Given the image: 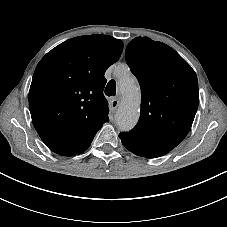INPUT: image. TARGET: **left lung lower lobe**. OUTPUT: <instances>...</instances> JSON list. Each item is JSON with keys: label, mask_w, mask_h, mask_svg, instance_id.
<instances>
[{"label": "left lung lower lobe", "mask_w": 227, "mask_h": 227, "mask_svg": "<svg viewBox=\"0 0 227 227\" xmlns=\"http://www.w3.org/2000/svg\"><path fill=\"white\" fill-rule=\"evenodd\" d=\"M122 144L129 150L131 151L132 153L138 155V156H144L146 158H156V157H160L162 155L158 154L157 152L155 151H150L148 149H143V148H139V147H136L132 144H128V143H125V142H122Z\"/></svg>", "instance_id": "0a47b994"}]
</instances>
